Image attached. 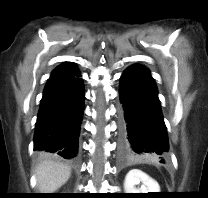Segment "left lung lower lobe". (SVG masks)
I'll return each instance as SVG.
<instances>
[{
    "mask_svg": "<svg viewBox=\"0 0 208 198\" xmlns=\"http://www.w3.org/2000/svg\"><path fill=\"white\" fill-rule=\"evenodd\" d=\"M119 152L122 158L159 157L168 152L158 92L144 66L128 67L120 79ZM163 160V159H162Z\"/></svg>",
    "mask_w": 208,
    "mask_h": 198,
    "instance_id": "1",
    "label": "left lung lower lobe"
}]
</instances>
